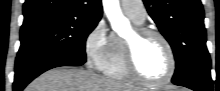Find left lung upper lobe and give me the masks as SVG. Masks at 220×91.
Returning a JSON list of instances; mask_svg holds the SVG:
<instances>
[{
	"label": "left lung upper lobe",
	"instance_id": "obj_1",
	"mask_svg": "<svg viewBox=\"0 0 220 91\" xmlns=\"http://www.w3.org/2000/svg\"><path fill=\"white\" fill-rule=\"evenodd\" d=\"M151 18L172 47L176 69L172 80L210 68L204 11L200 0H143Z\"/></svg>",
	"mask_w": 220,
	"mask_h": 91
}]
</instances>
